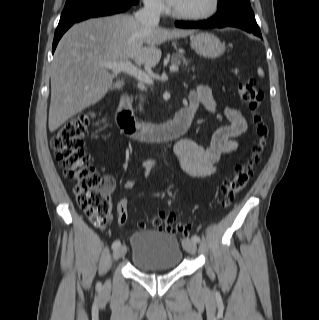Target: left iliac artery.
<instances>
[{"label":"left iliac artery","mask_w":319,"mask_h":320,"mask_svg":"<svg viewBox=\"0 0 319 320\" xmlns=\"http://www.w3.org/2000/svg\"><path fill=\"white\" fill-rule=\"evenodd\" d=\"M191 240L194 241V242H196V243H198V242L200 241V237H199L198 235H193V236L191 237Z\"/></svg>","instance_id":"1"}]
</instances>
